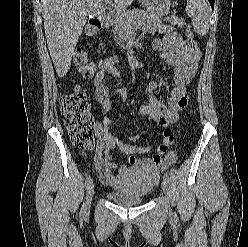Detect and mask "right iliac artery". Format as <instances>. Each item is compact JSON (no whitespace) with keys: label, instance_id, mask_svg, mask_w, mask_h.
<instances>
[{"label":"right iliac artery","instance_id":"obj_1","mask_svg":"<svg viewBox=\"0 0 248 247\" xmlns=\"http://www.w3.org/2000/svg\"><path fill=\"white\" fill-rule=\"evenodd\" d=\"M91 183V176L88 175L87 178H86V181H85V187L86 189L88 188L89 184ZM81 215H84L85 214V204L82 205L81 207Z\"/></svg>","mask_w":248,"mask_h":247}]
</instances>
